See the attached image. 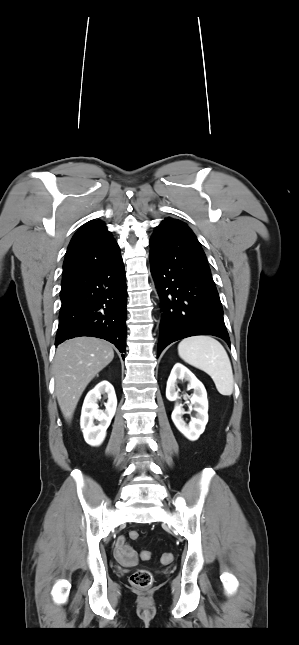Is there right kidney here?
I'll use <instances>...</instances> for the list:
<instances>
[{
    "label": "right kidney",
    "instance_id": "obj_1",
    "mask_svg": "<svg viewBox=\"0 0 299 645\" xmlns=\"http://www.w3.org/2000/svg\"><path fill=\"white\" fill-rule=\"evenodd\" d=\"M107 394L105 410L98 409L97 400ZM117 398L114 387L108 381H102L88 392L81 411L80 426L85 441L91 446H99L104 441L106 430L115 415ZM94 420L98 421L96 425Z\"/></svg>",
    "mask_w": 299,
    "mask_h": 645
}]
</instances>
